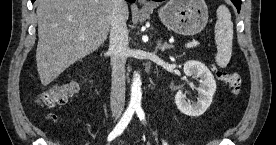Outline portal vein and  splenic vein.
<instances>
[{"mask_svg": "<svg viewBox=\"0 0 276 145\" xmlns=\"http://www.w3.org/2000/svg\"><path fill=\"white\" fill-rule=\"evenodd\" d=\"M81 39L83 40L84 37H81ZM197 45H199V42L198 41H191L189 43H187L185 45L186 48H192V47H196Z\"/></svg>", "mask_w": 276, "mask_h": 145, "instance_id": "18ae733b", "label": "portal vein and splenic vein"}]
</instances>
